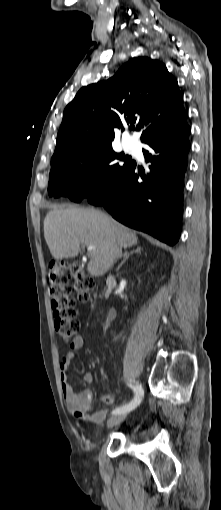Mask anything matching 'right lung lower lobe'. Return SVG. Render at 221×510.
<instances>
[{
  "mask_svg": "<svg viewBox=\"0 0 221 510\" xmlns=\"http://www.w3.org/2000/svg\"><path fill=\"white\" fill-rule=\"evenodd\" d=\"M191 129L181 127L142 140L150 172L136 162L113 185L88 202L103 205L119 222L148 233L169 246L180 237L183 217L184 174Z\"/></svg>",
  "mask_w": 221,
  "mask_h": 510,
  "instance_id": "1",
  "label": "right lung lower lobe"
}]
</instances>
